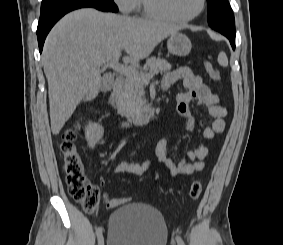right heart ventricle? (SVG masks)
Listing matches in <instances>:
<instances>
[{
    "label": "right heart ventricle",
    "instance_id": "1",
    "mask_svg": "<svg viewBox=\"0 0 283 245\" xmlns=\"http://www.w3.org/2000/svg\"><path fill=\"white\" fill-rule=\"evenodd\" d=\"M134 9H137L139 11L144 10L143 1L142 0H136Z\"/></svg>",
    "mask_w": 283,
    "mask_h": 245
}]
</instances>
